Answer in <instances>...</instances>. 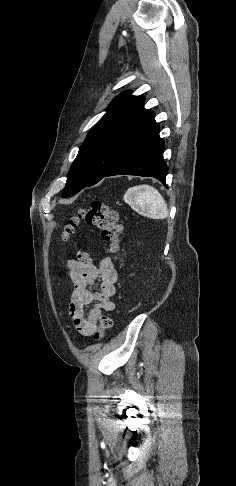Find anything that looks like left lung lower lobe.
I'll list each match as a JSON object with an SVG mask.
<instances>
[{"label": "left lung lower lobe", "instance_id": "0a47b994", "mask_svg": "<svg viewBox=\"0 0 236 486\" xmlns=\"http://www.w3.org/2000/svg\"><path fill=\"white\" fill-rule=\"evenodd\" d=\"M158 123L152 124L130 145L104 177L114 175L149 176L165 186L168 167L163 159L164 142Z\"/></svg>", "mask_w": 236, "mask_h": 486}]
</instances>
